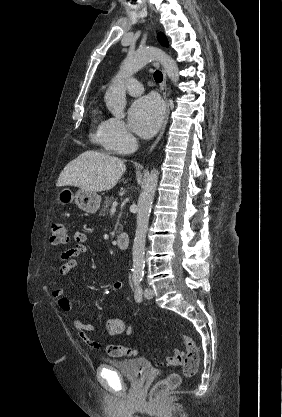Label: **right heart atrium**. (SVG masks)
Returning <instances> with one entry per match:
<instances>
[{
    "mask_svg": "<svg viewBox=\"0 0 282 417\" xmlns=\"http://www.w3.org/2000/svg\"><path fill=\"white\" fill-rule=\"evenodd\" d=\"M134 144L135 139L128 131L125 123L118 118H112L108 136L109 148L115 152L125 154L133 150Z\"/></svg>",
    "mask_w": 282,
    "mask_h": 417,
    "instance_id": "right-heart-atrium-1",
    "label": "right heart atrium"
}]
</instances>
